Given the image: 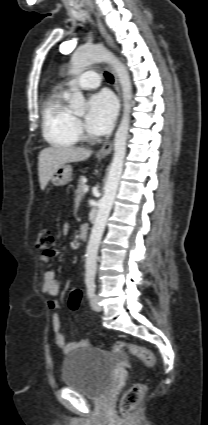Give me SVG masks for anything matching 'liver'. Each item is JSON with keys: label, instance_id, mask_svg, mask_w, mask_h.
<instances>
[{"label": "liver", "instance_id": "1", "mask_svg": "<svg viewBox=\"0 0 208 425\" xmlns=\"http://www.w3.org/2000/svg\"><path fill=\"white\" fill-rule=\"evenodd\" d=\"M91 150L70 146H52L43 149L38 157V172L41 190H44L54 172L62 165L88 159Z\"/></svg>", "mask_w": 208, "mask_h": 425}]
</instances>
